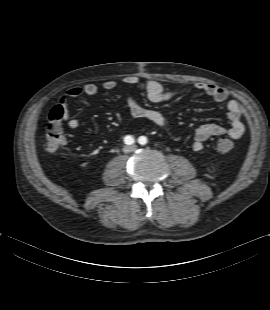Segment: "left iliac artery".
I'll return each instance as SVG.
<instances>
[{
    "label": "left iliac artery",
    "mask_w": 270,
    "mask_h": 310,
    "mask_svg": "<svg viewBox=\"0 0 270 310\" xmlns=\"http://www.w3.org/2000/svg\"><path fill=\"white\" fill-rule=\"evenodd\" d=\"M138 142L141 145H145L147 143V138L145 136H141V137H139Z\"/></svg>",
    "instance_id": "obj_1"
}]
</instances>
